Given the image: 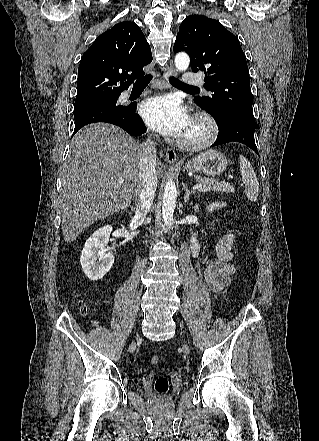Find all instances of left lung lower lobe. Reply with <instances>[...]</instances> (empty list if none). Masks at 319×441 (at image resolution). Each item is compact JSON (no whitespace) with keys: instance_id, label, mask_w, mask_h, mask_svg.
Returning a JSON list of instances; mask_svg holds the SVG:
<instances>
[{"instance_id":"left-lung-lower-lobe-1","label":"left lung lower lobe","mask_w":319,"mask_h":441,"mask_svg":"<svg viewBox=\"0 0 319 441\" xmlns=\"http://www.w3.org/2000/svg\"><path fill=\"white\" fill-rule=\"evenodd\" d=\"M217 125L219 128V136L212 146L228 142H239L257 152L254 140L255 122L237 116H231L223 123H217Z\"/></svg>"}]
</instances>
